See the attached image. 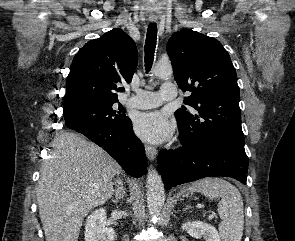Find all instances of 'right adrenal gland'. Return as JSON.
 Instances as JSON below:
<instances>
[{"label":"right adrenal gland","instance_id":"2a0ac1e0","mask_svg":"<svg viewBox=\"0 0 295 241\" xmlns=\"http://www.w3.org/2000/svg\"><path fill=\"white\" fill-rule=\"evenodd\" d=\"M116 187H117V189L115 191V198L112 197L111 200L114 203L117 204L120 199H123L124 198V195H125V190H124V187H123V182L120 179H118L116 181Z\"/></svg>","mask_w":295,"mask_h":241}]
</instances>
